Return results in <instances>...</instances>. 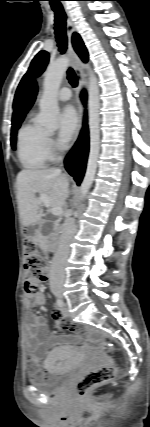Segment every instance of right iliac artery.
Returning <instances> with one entry per match:
<instances>
[{"label":"right iliac artery","mask_w":150,"mask_h":427,"mask_svg":"<svg viewBox=\"0 0 150 427\" xmlns=\"http://www.w3.org/2000/svg\"><path fill=\"white\" fill-rule=\"evenodd\" d=\"M57 306L62 307L63 306V302L60 299H57L56 301Z\"/></svg>","instance_id":"1"}]
</instances>
